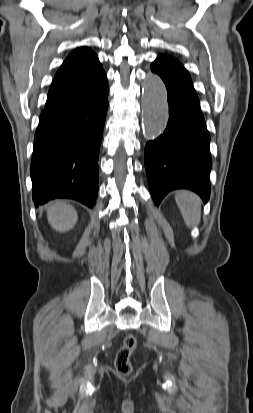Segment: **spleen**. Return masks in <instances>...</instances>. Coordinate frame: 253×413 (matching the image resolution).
<instances>
[{"label":"spleen","mask_w":253,"mask_h":413,"mask_svg":"<svg viewBox=\"0 0 253 413\" xmlns=\"http://www.w3.org/2000/svg\"><path fill=\"white\" fill-rule=\"evenodd\" d=\"M185 224L188 227L197 226L201 220V200L190 191H180L175 196Z\"/></svg>","instance_id":"spleen-1"}]
</instances>
